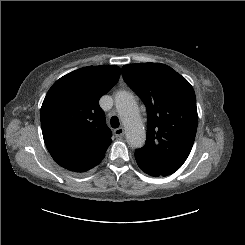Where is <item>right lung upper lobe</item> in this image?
<instances>
[{
	"mask_svg": "<svg viewBox=\"0 0 245 245\" xmlns=\"http://www.w3.org/2000/svg\"><path fill=\"white\" fill-rule=\"evenodd\" d=\"M119 77L118 66H88L66 74L49 89L41 127L48 151L62 167L84 172L104 156L112 132L98 101Z\"/></svg>",
	"mask_w": 245,
	"mask_h": 245,
	"instance_id": "right-lung-upper-lobe-1",
	"label": "right lung upper lobe"
}]
</instances>
